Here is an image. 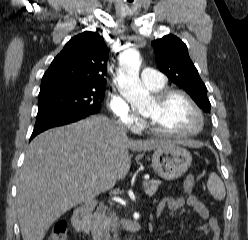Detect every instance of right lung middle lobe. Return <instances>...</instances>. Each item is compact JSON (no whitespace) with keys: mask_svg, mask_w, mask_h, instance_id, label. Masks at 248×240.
I'll list each match as a JSON object with an SVG mask.
<instances>
[{"mask_svg":"<svg viewBox=\"0 0 248 240\" xmlns=\"http://www.w3.org/2000/svg\"><path fill=\"white\" fill-rule=\"evenodd\" d=\"M105 89H66L38 96V113L95 114L100 111Z\"/></svg>","mask_w":248,"mask_h":240,"instance_id":"obj_1","label":"right lung middle lobe"}]
</instances>
